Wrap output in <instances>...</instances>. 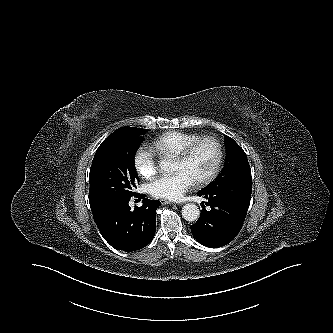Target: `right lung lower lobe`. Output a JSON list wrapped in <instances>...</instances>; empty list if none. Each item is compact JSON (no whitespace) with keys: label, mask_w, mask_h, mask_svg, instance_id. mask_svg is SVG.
I'll return each mask as SVG.
<instances>
[{"label":"right lung lower lobe","mask_w":333,"mask_h":333,"mask_svg":"<svg viewBox=\"0 0 333 333\" xmlns=\"http://www.w3.org/2000/svg\"><path fill=\"white\" fill-rule=\"evenodd\" d=\"M132 196L117 198L92 209L94 221L104 239L113 248L126 252L144 248L153 239L155 214L161 205L159 201L145 198L141 207L131 210L128 203Z\"/></svg>","instance_id":"right-lung-lower-lobe-1"}]
</instances>
